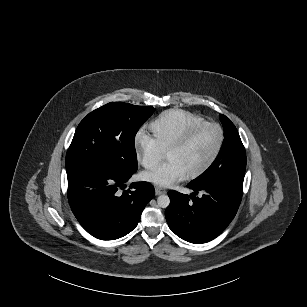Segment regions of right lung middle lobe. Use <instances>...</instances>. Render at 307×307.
Returning a JSON list of instances; mask_svg holds the SVG:
<instances>
[{
	"mask_svg": "<svg viewBox=\"0 0 307 307\" xmlns=\"http://www.w3.org/2000/svg\"><path fill=\"white\" fill-rule=\"evenodd\" d=\"M154 108L123 102L108 103L89 113L78 125L66 155V170L106 166L134 173V139Z\"/></svg>",
	"mask_w": 307,
	"mask_h": 307,
	"instance_id": "1",
	"label": "right lung middle lobe"
}]
</instances>
